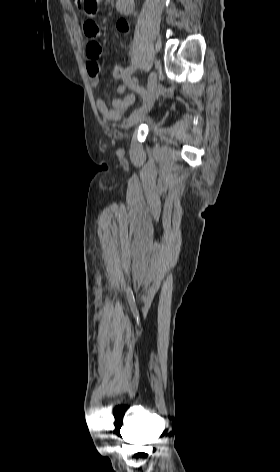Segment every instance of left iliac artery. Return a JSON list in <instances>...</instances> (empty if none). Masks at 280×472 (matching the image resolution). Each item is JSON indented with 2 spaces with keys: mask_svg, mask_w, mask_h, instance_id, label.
Here are the masks:
<instances>
[{
  "mask_svg": "<svg viewBox=\"0 0 280 472\" xmlns=\"http://www.w3.org/2000/svg\"><path fill=\"white\" fill-rule=\"evenodd\" d=\"M136 71V66H128L123 73V81L125 83V86L136 93H138L142 101L144 102L146 99L147 91L145 88L140 87L136 81L132 78V74Z\"/></svg>",
  "mask_w": 280,
  "mask_h": 472,
  "instance_id": "44dca946",
  "label": "left iliac artery"
}]
</instances>
